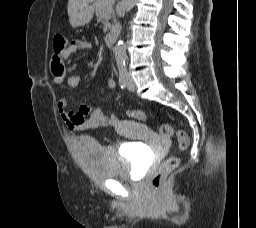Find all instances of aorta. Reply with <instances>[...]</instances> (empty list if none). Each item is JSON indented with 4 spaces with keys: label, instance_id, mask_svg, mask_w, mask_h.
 Here are the masks:
<instances>
[{
    "label": "aorta",
    "instance_id": "762f6f07",
    "mask_svg": "<svg viewBox=\"0 0 256 228\" xmlns=\"http://www.w3.org/2000/svg\"><path fill=\"white\" fill-rule=\"evenodd\" d=\"M137 0H121L120 7L123 12L130 11L136 3ZM114 54L116 63L118 66L125 65L126 62V46L123 40H119L114 47Z\"/></svg>",
    "mask_w": 256,
    "mask_h": 228
}]
</instances>
